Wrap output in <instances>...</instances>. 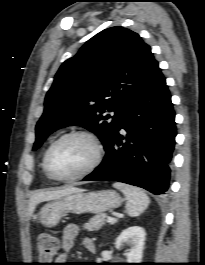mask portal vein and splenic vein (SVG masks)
Masks as SVG:
<instances>
[{"label":"portal vein and splenic vein","instance_id":"obj_1","mask_svg":"<svg viewBox=\"0 0 205 265\" xmlns=\"http://www.w3.org/2000/svg\"><path fill=\"white\" fill-rule=\"evenodd\" d=\"M115 221H116V219L113 218V217H108V218H107V222H109V223H113V222H115Z\"/></svg>","mask_w":205,"mask_h":265}]
</instances>
